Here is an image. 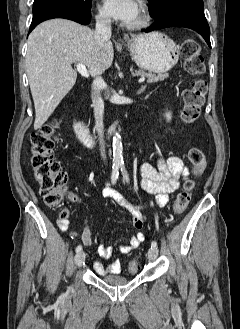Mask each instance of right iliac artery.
<instances>
[{
    "mask_svg": "<svg viewBox=\"0 0 240 329\" xmlns=\"http://www.w3.org/2000/svg\"><path fill=\"white\" fill-rule=\"evenodd\" d=\"M118 175H119V166H113V170H112V176H111V182L112 184H115L117 179H118ZM82 250V246L78 245L76 247V253H79Z\"/></svg>",
    "mask_w": 240,
    "mask_h": 329,
    "instance_id": "1",
    "label": "right iliac artery"
}]
</instances>
